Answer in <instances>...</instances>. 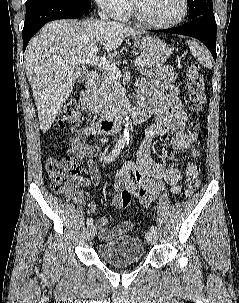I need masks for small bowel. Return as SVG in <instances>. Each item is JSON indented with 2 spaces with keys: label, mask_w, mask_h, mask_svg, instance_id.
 <instances>
[{
  "label": "small bowel",
  "mask_w": 239,
  "mask_h": 303,
  "mask_svg": "<svg viewBox=\"0 0 239 303\" xmlns=\"http://www.w3.org/2000/svg\"><path fill=\"white\" fill-rule=\"evenodd\" d=\"M143 105L152 109L156 114V123L151 125L145 134L135 162L125 164L116 174L113 189L119 193L127 189L142 205L149 206L166 189L172 194H179L182 190L181 171L173 157L166 159V167L157 163L151 158V144L156 138L171 136L170 146L173 151L181 152L194 147L197 152L201 149V143L195 133L188 132L185 126V114L180 102L176 98V89L158 79L149 82L144 81L140 88ZM89 136H98L99 143L105 144L107 136L101 133L96 124L88 125L80 129L70 142L69 154L76 157L81 163L87 166L90 178L84 182L89 186L98 182L100 171L93 158L100 154L99 145H90L85 141ZM111 207L121 208L119 196H116ZM88 211L96 215V204L90 202ZM109 218L104 216L96 220L99 228V237L103 241H110L112 238L127 232L131 223H123L110 228Z\"/></svg>",
  "instance_id": "c3829d8e"
}]
</instances>
